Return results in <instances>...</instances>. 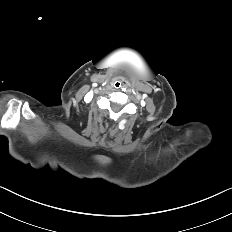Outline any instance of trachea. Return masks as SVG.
I'll list each match as a JSON object with an SVG mask.
<instances>
[{
    "instance_id": "3493384b",
    "label": "trachea",
    "mask_w": 232,
    "mask_h": 232,
    "mask_svg": "<svg viewBox=\"0 0 232 232\" xmlns=\"http://www.w3.org/2000/svg\"><path fill=\"white\" fill-rule=\"evenodd\" d=\"M113 87L115 89H121L123 87V83L121 81L117 80V81L113 82Z\"/></svg>"
}]
</instances>
